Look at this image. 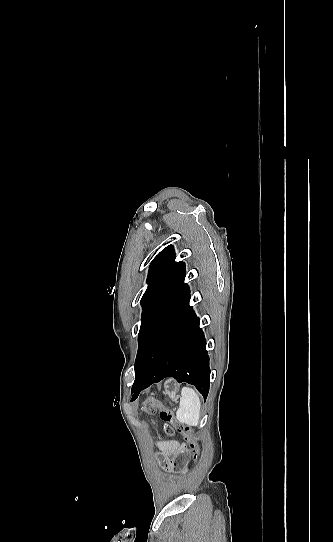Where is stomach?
<instances>
[{
  "label": "stomach",
  "instance_id": "stomach-1",
  "mask_svg": "<svg viewBox=\"0 0 333 542\" xmlns=\"http://www.w3.org/2000/svg\"><path fill=\"white\" fill-rule=\"evenodd\" d=\"M169 382H171V380H166L165 384H164V390L168 396V398H170V400H176L177 398V384H174L172 390L169 386Z\"/></svg>",
  "mask_w": 333,
  "mask_h": 542
}]
</instances>
